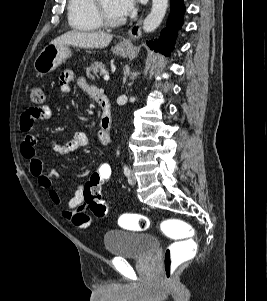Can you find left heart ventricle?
Instances as JSON below:
<instances>
[{
  "instance_id": "obj_1",
  "label": "left heart ventricle",
  "mask_w": 267,
  "mask_h": 301,
  "mask_svg": "<svg viewBox=\"0 0 267 301\" xmlns=\"http://www.w3.org/2000/svg\"><path fill=\"white\" fill-rule=\"evenodd\" d=\"M101 5L109 18L120 19V16H118L113 9V1L112 0H101Z\"/></svg>"
}]
</instances>
